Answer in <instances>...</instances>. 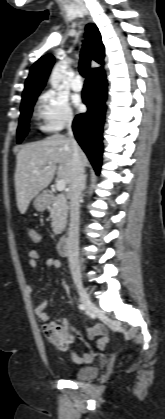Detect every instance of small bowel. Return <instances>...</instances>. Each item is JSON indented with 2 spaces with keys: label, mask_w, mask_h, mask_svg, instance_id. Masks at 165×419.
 Returning a JSON list of instances; mask_svg holds the SVG:
<instances>
[{
  "label": "small bowel",
  "mask_w": 165,
  "mask_h": 419,
  "mask_svg": "<svg viewBox=\"0 0 165 419\" xmlns=\"http://www.w3.org/2000/svg\"><path fill=\"white\" fill-rule=\"evenodd\" d=\"M39 236V235H38ZM40 240V238H39ZM39 242V241H38ZM39 262V254L36 250H30L29 252V261L28 264L32 269H36ZM46 266L50 268H58L61 269L63 267L62 262L59 259L56 258H48L46 259ZM29 291H32L31 286H29ZM48 305L47 300H43L40 302L35 308L34 312L42 322H47L49 320V314L46 311V307ZM64 323L67 325V322L64 321ZM69 330V337L66 341L58 342L54 340L53 338L48 337L47 341L53 346V348L58 352H69L71 358L77 363V364H87L90 363L93 360L94 355L92 353L86 352V353H78L73 350H70V344L75 339H81V340H92L96 336L100 335L102 332V329L100 327H95L90 330H80L73 327H68ZM107 341V337L103 336L98 341V346L103 347Z\"/></svg>",
  "instance_id": "obj_1"
}]
</instances>
